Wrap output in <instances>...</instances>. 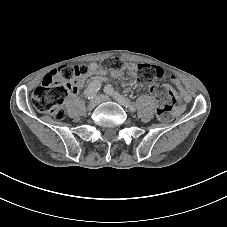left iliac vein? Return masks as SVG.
<instances>
[{
    "label": "left iliac vein",
    "mask_w": 227,
    "mask_h": 227,
    "mask_svg": "<svg viewBox=\"0 0 227 227\" xmlns=\"http://www.w3.org/2000/svg\"><path fill=\"white\" fill-rule=\"evenodd\" d=\"M99 99H100V102H106V101H111V98L110 97H108L107 95H100L99 96ZM117 102L119 103V104H121V105H124V102L123 101H118L117 100Z\"/></svg>",
    "instance_id": "1"
}]
</instances>
